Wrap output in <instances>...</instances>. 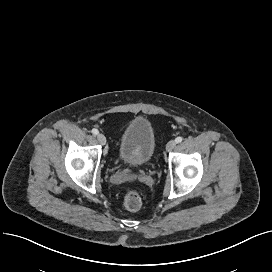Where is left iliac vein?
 Here are the masks:
<instances>
[{"label":"left iliac vein","instance_id":"left-iliac-vein-1","mask_svg":"<svg viewBox=\"0 0 272 272\" xmlns=\"http://www.w3.org/2000/svg\"><path fill=\"white\" fill-rule=\"evenodd\" d=\"M176 146V141L175 140H170L167 145H166V151L170 152L172 151Z\"/></svg>","mask_w":272,"mask_h":272}]
</instances>
